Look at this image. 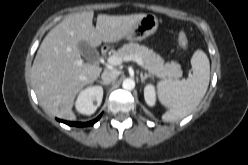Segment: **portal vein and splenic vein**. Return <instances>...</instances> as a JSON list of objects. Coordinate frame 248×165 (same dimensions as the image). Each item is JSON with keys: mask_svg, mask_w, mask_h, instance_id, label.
Masks as SVG:
<instances>
[{"mask_svg": "<svg viewBox=\"0 0 248 165\" xmlns=\"http://www.w3.org/2000/svg\"><path fill=\"white\" fill-rule=\"evenodd\" d=\"M123 61H135L140 67L145 68L142 59L138 56H128L125 58H121L119 56L112 55L107 59L108 64L115 66L122 64Z\"/></svg>", "mask_w": 248, "mask_h": 165, "instance_id": "1", "label": "portal vein and splenic vein"}]
</instances>
